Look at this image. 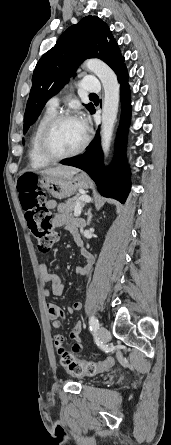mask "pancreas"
I'll return each mask as SVG.
<instances>
[{"mask_svg":"<svg viewBox=\"0 0 171 445\" xmlns=\"http://www.w3.org/2000/svg\"><path fill=\"white\" fill-rule=\"evenodd\" d=\"M78 204L81 208L85 206V202L81 200V196H76L72 199H68L65 204H59L57 210L60 213L70 215L71 220L76 221V219L73 218V215Z\"/></svg>","mask_w":171,"mask_h":445,"instance_id":"1","label":"pancreas"}]
</instances>
